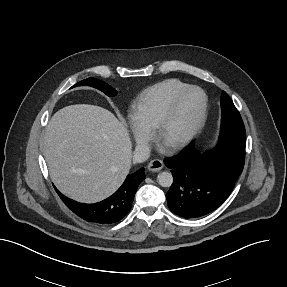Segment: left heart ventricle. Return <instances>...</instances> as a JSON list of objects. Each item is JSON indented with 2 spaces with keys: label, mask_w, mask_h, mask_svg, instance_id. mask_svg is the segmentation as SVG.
Segmentation results:
<instances>
[{
  "label": "left heart ventricle",
  "mask_w": 287,
  "mask_h": 287,
  "mask_svg": "<svg viewBox=\"0 0 287 287\" xmlns=\"http://www.w3.org/2000/svg\"><path fill=\"white\" fill-rule=\"evenodd\" d=\"M199 105L200 95L197 92H190L180 100L166 130V141L176 140L186 131L194 121Z\"/></svg>",
  "instance_id": "1"
}]
</instances>
